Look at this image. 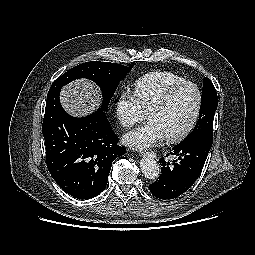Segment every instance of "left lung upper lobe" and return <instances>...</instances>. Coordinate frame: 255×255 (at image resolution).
I'll use <instances>...</instances> for the list:
<instances>
[{"mask_svg": "<svg viewBox=\"0 0 255 255\" xmlns=\"http://www.w3.org/2000/svg\"><path fill=\"white\" fill-rule=\"evenodd\" d=\"M201 103L199 120L194 130L182 142L190 141L199 136L213 137V120L217 109V93L213 83L207 77L204 78Z\"/></svg>", "mask_w": 255, "mask_h": 255, "instance_id": "obj_1", "label": "left lung upper lobe"}]
</instances>
